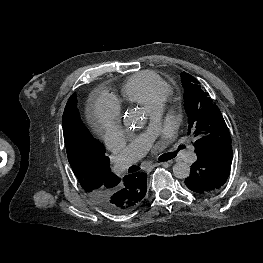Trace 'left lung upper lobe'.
Masks as SVG:
<instances>
[{
    "mask_svg": "<svg viewBox=\"0 0 263 263\" xmlns=\"http://www.w3.org/2000/svg\"><path fill=\"white\" fill-rule=\"evenodd\" d=\"M180 76L185 89L184 108L188 116V134L193 133L197 137L195 152L200 154L220 145L231 144L229 129L209 94L190 74L182 72Z\"/></svg>",
    "mask_w": 263,
    "mask_h": 263,
    "instance_id": "left-lung-upper-lobe-1",
    "label": "left lung upper lobe"
}]
</instances>
